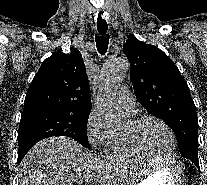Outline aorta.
I'll list each match as a JSON object with an SVG mask.
<instances>
[{"mask_svg":"<svg viewBox=\"0 0 207 185\" xmlns=\"http://www.w3.org/2000/svg\"><path fill=\"white\" fill-rule=\"evenodd\" d=\"M129 62L124 58H113L104 64L100 73L97 107L109 125L116 129L124 128L128 115L118 105L116 92L129 70Z\"/></svg>","mask_w":207,"mask_h":185,"instance_id":"1","label":"aorta"}]
</instances>
